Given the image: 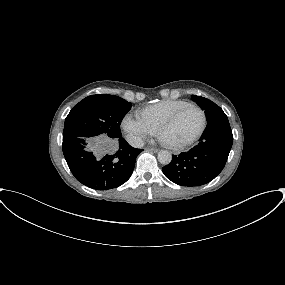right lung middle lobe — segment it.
<instances>
[{"label": "right lung middle lobe", "instance_id": "dd1d6c3e", "mask_svg": "<svg viewBox=\"0 0 285 285\" xmlns=\"http://www.w3.org/2000/svg\"><path fill=\"white\" fill-rule=\"evenodd\" d=\"M131 106L115 95L86 97L66 117L63 142H74L76 138L104 141L121 137L120 124Z\"/></svg>", "mask_w": 285, "mask_h": 285}]
</instances>
